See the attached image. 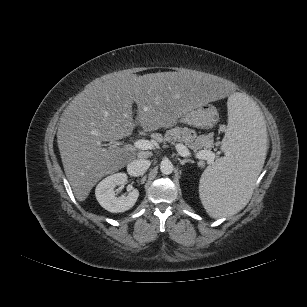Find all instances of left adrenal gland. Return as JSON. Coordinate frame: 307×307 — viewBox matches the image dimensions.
<instances>
[{"label": "left adrenal gland", "instance_id": "left-adrenal-gland-1", "mask_svg": "<svg viewBox=\"0 0 307 307\" xmlns=\"http://www.w3.org/2000/svg\"><path fill=\"white\" fill-rule=\"evenodd\" d=\"M181 165H184L186 163H194L191 159H178Z\"/></svg>", "mask_w": 307, "mask_h": 307}]
</instances>
